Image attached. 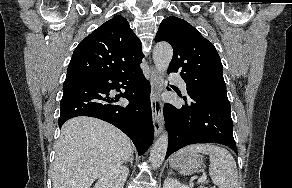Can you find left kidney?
Here are the masks:
<instances>
[{"label": "left kidney", "instance_id": "left-kidney-1", "mask_svg": "<svg viewBox=\"0 0 292 188\" xmlns=\"http://www.w3.org/2000/svg\"><path fill=\"white\" fill-rule=\"evenodd\" d=\"M163 188H190L187 185L180 183L174 178H167L164 181Z\"/></svg>", "mask_w": 292, "mask_h": 188}]
</instances>
